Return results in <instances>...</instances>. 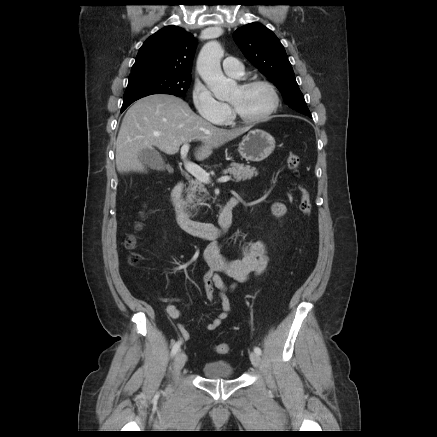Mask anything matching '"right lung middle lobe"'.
<instances>
[{"label": "right lung middle lobe", "mask_w": 437, "mask_h": 437, "mask_svg": "<svg viewBox=\"0 0 437 437\" xmlns=\"http://www.w3.org/2000/svg\"><path fill=\"white\" fill-rule=\"evenodd\" d=\"M191 82V75H171L153 70L132 71L124 93L121 111L134 101L153 94H171L184 97Z\"/></svg>", "instance_id": "right-lung-middle-lobe-1"}]
</instances>
